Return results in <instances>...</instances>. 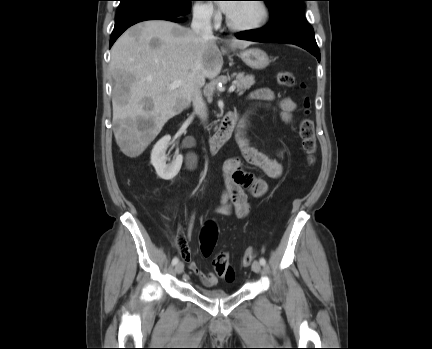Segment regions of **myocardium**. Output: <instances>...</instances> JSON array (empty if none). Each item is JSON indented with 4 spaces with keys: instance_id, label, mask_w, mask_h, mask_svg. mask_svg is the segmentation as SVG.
<instances>
[{
    "instance_id": "f54148a6",
    "label": "myocardium",
    "mask_w": 432,
    "mask_h": 349,
    "mask_svg": "<svg viewBox=\"0 0 432 349\" xmlns=\"http://www.w3.org/2000/svg\"><path fill=\"white\" fill-rule=\"evenodd\" d=\"M252 1L256 2L261 9V17L259 18V20H257L256 22H254L252 24L240 25V24L234 23L232 21V19L229 17V15L227 14L226 15V24L230 29H232L234 31H239V32L255 31V30L262 28L268 22V20L270 18V10H269V6L267 5V3L264 0H252Z\"/></svg>"
}]
</instances>
